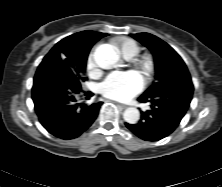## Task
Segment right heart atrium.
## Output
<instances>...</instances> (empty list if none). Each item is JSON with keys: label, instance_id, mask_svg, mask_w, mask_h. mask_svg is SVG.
<instances>
[{"label": "right heart atrium", "instance_id": "obj_1", "mask_svg": "<svg viewBox=\"0 0 222 187\" xmlns=\"http://www.w3.org/2000/svg\"><path fill=\"white\" fill-rule=\"evenodd\" d=\"M86 66L90 73H94L96 71L97 64L95 62L93 51L89 54L87 58Z\"/></svg>", "mask_w": 222, "mask_h": 187}]
</instances>
